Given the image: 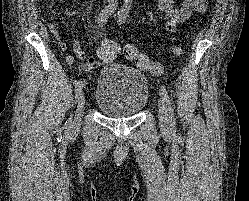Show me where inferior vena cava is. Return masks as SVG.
Instances as JSON below:
<instances>
[{
  "mask_svg": "<svg viewBox=\"0 0 249 201\" xmlns=\"http://www.w3.org/2000/svg\"><path fill=\"white\" fill-rule=\"evenodd\" d=\"M108 2H114L115 0H107Z\"/></svg>",
  "mask_w": 249,
  "mask_h": 201,
  "instance_id": "1",
  "label": "inferior vena cava"
}]
</instances>
